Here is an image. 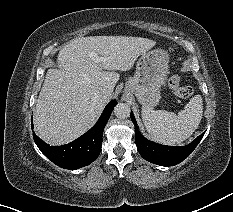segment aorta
Here are the masks:
<instances>
[{"mask_svg":"<svg viewBox=\"0 0 233 212\" xmlns=\"http://www.w3.org/2000/svg\"><path fill=\"white\" fill-rule=\"evenodd\" d=\"M130 111V107L126 103H118L114 108L115 116L122 119L129 117Z\"/></svg>","mask_w":233,"mask_h":212,"instance_id":"aorta-1","label":"aorta"}]
</instances>
